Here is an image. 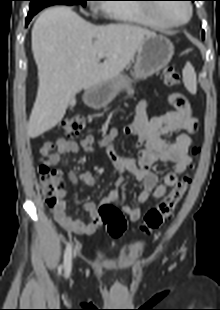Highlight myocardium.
I'll list each match as a JSON object with an SVG mask.
<instances>
[{"label":"myocardium","instance_id":"1","mask_svg":"<svg viewBox=\"0 0 220 310\" xmlns=\"http://www.w3.org/2000/svg\"><path fill=\"white\" fill-rule=\"evenodd\" d=\"M184 5L187 8L188 14H187V17L181 21H171L167 18H164L158 14L157 9H148V12L153 18L160 21L167 27H179V26L186 24L192 16V6L190 4H184Z\"/></svg>","mask_w":220,"mask_h":310}]
</instances>
